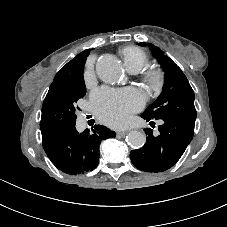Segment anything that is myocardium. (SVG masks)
<instances>
[{
    "instance_id": "obj_1",
    "label": "myocardium",
    "mask_w": 227,
    "mask_h": 227,
    "mask_svg": "<svg viewBox=\"0 0 227 227\" xmlns=\"http://www.w3.org/2000/svg\"><path fill=\"white\" fill-rule=\"evenodd\" d=\"M142 83L151 91L159 90L164 81V74L158 68H149L142 72Z\"/></svg>"
}]
</instances>
